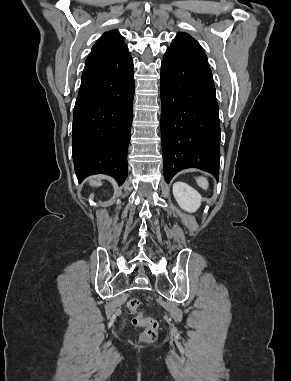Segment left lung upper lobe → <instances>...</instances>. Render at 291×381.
I'll return each mask as SVG.
<instances>
[{
	"label": "left lung upper lobe",
	"mask_w": 291,
	"mask_h": 381,
	"mask_svg": "<svg viewBox=\"0 0 291 381\" xmlns=\"http://www.w3.org/2000/svg\"><path fill=\"white\" fill-rule=\"evenodd\" d=\"M168 49L173 50L191 62L210 70L207 56L202 47L187 33L179 32Z\"/></svg>",
	"instance_id": "left-lung-upper-lobe-1"
}]
</instances>
